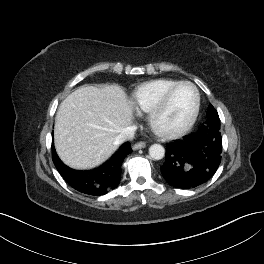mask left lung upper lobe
Here are the masks:
<instances>
[{"mask_svg":"<svg viewBox=\"0 0 264 264\" xmlns=\"http://www.w3.org/2000/svg\"><path fill=\"white\" fill-rule=\"evenodd\" d=\"M207 120L203 123V125L207 127H214L220 130V121L219 116L215 108L210 104L207 110Z\"/></svg>","mask_w":264,"mask_h":264,"instance_id":"1","label":"left lung upper lobe"}]
</instances>
